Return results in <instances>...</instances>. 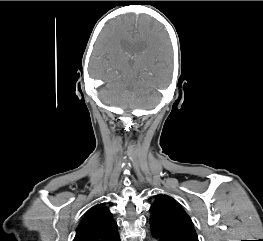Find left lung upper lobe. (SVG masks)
I'll list each match as a JSON object with an SVG mask.
<instances>
[{"label": "left lung upper lobe", "instance_id": "obj_1", "mask_svg": "<svg viewBox=\"0 0 263 241\" xmlns=\"http://www.w3.org/2000/svg\"><path fill=\"white\" fill-rule=\"evenodd\" d=\"M150 222L183 237L186 241H198L192 220L172 197L159 194L150 207Z\"/></svg>", "mask_w": 263, "mask_h": 241}]
</instances>
